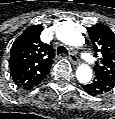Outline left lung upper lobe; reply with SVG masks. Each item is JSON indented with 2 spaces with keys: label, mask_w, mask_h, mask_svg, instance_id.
<instances>
[{
  "label": "left lung upper lobe",
  "mask_w": 115,
  "mask_h": 119,
  "mask_svg": "<svg viewBox=\"0 0 115 119\" xmlns=\"http://www.w3.org/2000/svg\"><path fill=\"white\" fill-rule=\"evenodd\" d=\"M90 39L94 46L95 56L100 54V63L94 70L115 82V34L105 25L87 27Z\"/></svg>",
  "instance_id": "left-lung-upper-lobe-1"
}]
</instances>
